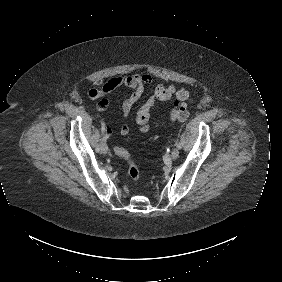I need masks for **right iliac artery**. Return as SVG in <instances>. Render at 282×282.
Returning <instances> with one entry per match:
<instances>
[{"instance_id":"1","label":"right iliac artery","mask_w":282,"mask_h":282,"mask_svg":"<svg viewBox=\"0 0 282 282\" xmlns=\"http://www.w3.org/2000/svg\"><path fill=\"white\" fill-rule=\"evenodd\" d=\"M101 131H102V136L103 138L105 139L106 138V134H105V123L104 122H101ZM97 150H99V148H97Z\"/></svg>"}]
</instances>
